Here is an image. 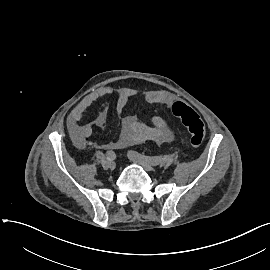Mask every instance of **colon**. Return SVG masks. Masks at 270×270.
Masks as SVG:
<instances>
[{"label": "colon", "instance_id": "obj_1", "mask_svg": "<svg viewBox=\"0 0 270 270\" xmlns=\"http://www.w3.org/2000/svg\"><path fill=\"white\" fill-rule=\"evenodd\" d=\"M167 112L178 119L186 128L189 137V143L193 148L200 147L205 138V128L199 115L183 102H174L168 108Z\"/></svg>", "mask_w": 270, "mask_h": 270}]
</instances>
